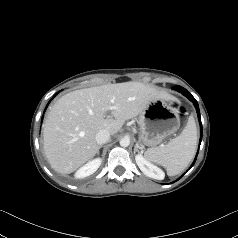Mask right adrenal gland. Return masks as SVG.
Listing matches in <instances>:
<instances>
[{
    "mask_svg": "<svg viewBox=\"0 0 238 238\" xmlns=\"http://www.w3.org/2000/svg\"><path fill=\"white\" fill-rule=\"evenodd\" d=\"M102 148V145L98 146L97 155H99V149Z\"/></svg>",
    "mask_w": 238,
    "mask_h": 238,
    "instance_id": "2a0ac1e0",
    "label": "right adrenal gland"
}]
</instances>
